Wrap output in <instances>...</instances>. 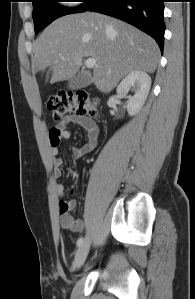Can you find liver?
Masks as SVG:
<instances>
[{
    "mask_svg": "<svg viewBox=\"0 0 195 299\" xmlns=\"http://www.w3.org/2000/svg\"><path fill=\"white\" fill-rule=\"evenodd\" d=\"M33 50V73L49 67L51 83L71 79L84 57L94 58L90 82L102 92L111 91L132 71L153 73L160 54L149 35L118 19L91 12L55 20L34 42Z\"/></svg>",
    "mask_w": 195,
    "mask_h": 299,
    "instance_id": "1",
    "label": "liver"
}]
</instances>
